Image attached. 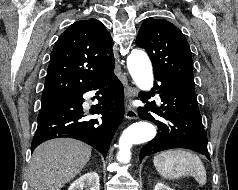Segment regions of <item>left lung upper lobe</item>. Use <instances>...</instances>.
<instances>
[{"label":"left lung upper lobe","mask_w":238,"mask_h":190,"mask_svg":"<svg viewBox=\"0 0 238 190\" xmlns=\"http://www.w3.org/2000/svg\"><path fill=\"white\" fill-rule=\"evenodd\" d=\"M153 64L154 76L165 75L193 84V62L189 44L183 33L171 22L163 19L144 20L136 39Z\"/></svg>","instance_id":"1"}]
</instances>
